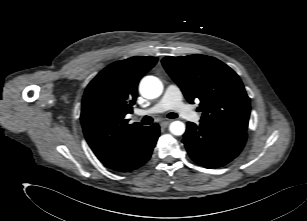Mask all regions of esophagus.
<instances>
[{
	"instance_id": "34e87169",
	"label": "esophagus",
	"mask_w": 307,
	"mask_h": 221,
	"mask_svg": "<svg viewBox=\"0 0 307 221\" xmlns=\"http://www.w3.org/2000/svg\"><path fill=\"white\" fill-rule=\"evenodd\" d=\"M171 123V120H165L160 123V126L165 128Z\"/></svg>"
}]
</instances>
